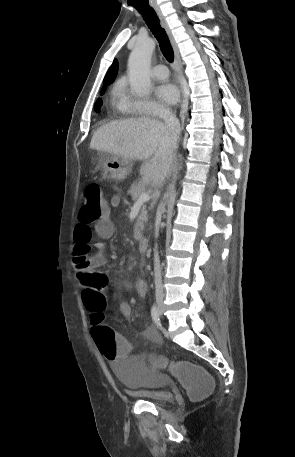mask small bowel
Returning <instances> with one entry per match:
<instances>
[{
  "label": "small bowel",
  "mask_w": 295,
  "mask_h": 457,
  "mask_svg": "<svg viewBox=\"0 0 295 457\" xmlns=\"http://www.w3.org/2000/svg\"><path fill=\"white\" fill-rule=\"evenodd\" d=\"M121 199L118 195L111 197L108 207L117 208L120 205ZM115 233V228L112 220L109 217V213L98 220L93 226L77 224L75 228V248L78 246H87L90 249L93 247L96 249V252L89 255L87 259V266L84 269L76 268V279L82 286L83 291L87 289V273L95 272L102 274V268L106 262V244L103 241H98L91 243L92 237L96 234L102 240H108L113 237ZM136 291L140 297H145L147 294V285L143 280H138L136 282ZM120 313L124 317H131L132 307L129 302H121L119 305ZM145 333L150 338H157V331L155 327L151 324L146 325ZM125 341H127L125 339ZM128 358V355H127ZM112 361V360H111ZM114 363V361H112Z\"/></svg>",
  "instance_id": "1"
}]
</instances>
